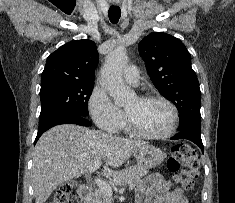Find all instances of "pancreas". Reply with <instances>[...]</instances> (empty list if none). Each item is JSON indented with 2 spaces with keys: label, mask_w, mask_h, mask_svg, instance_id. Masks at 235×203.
I'll return each mask as SVG.
<instances>
[{
  "label": "pancreas",
  "mask_w": 235,
  "mask_h": 203,
  "mask_svg": "<svg viewBox=\"0 0 235 203\" xmlns=\"http://www.w3.org/2000/svg\"><path fill=\"white\" fill-rule=\"evenodd\" d=\"M148 174V170L142 166H131L121 170L114 175L110 181L112 185L138 184L143 176ZM111 196L106 195L102 190L97 189L92 196L91 203H112Z\"/></svg>",
  "instance_id": "obj_1"
}]
</instances>
